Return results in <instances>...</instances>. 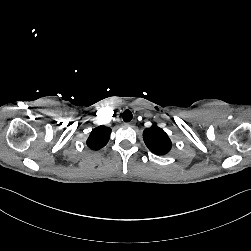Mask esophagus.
<instances>
[{
    "label": "esophagus",
    "instance_id": "1",
    "mask_svg": "<svg viewBox=\"0 0 251 251\" xmlns=\"http://www.w3.org/2000/svg\"><path fill=\"white\" fill-rule=\"evenodd\" d=\"M127 125L133 126V125H134V122H129V123H127Z\"/></svg>",
    "mask_w": 251,
    "mask_h": 251
}]
</instances>
